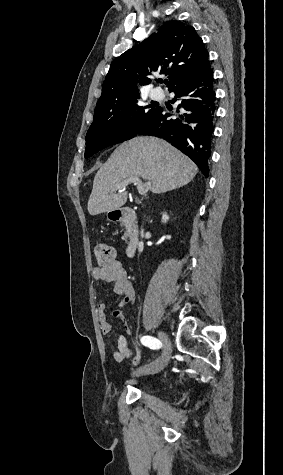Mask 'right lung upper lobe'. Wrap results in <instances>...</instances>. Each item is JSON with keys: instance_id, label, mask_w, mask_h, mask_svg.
I'll return each mask as SVG.
<instances>
[{"instance_id": "cb5924a9", "label": "right lung upper lobe", "mask_w": 283, "mask_h": 475, "mask_svg": "<svg viewBox=\"0 0 283 475\" xmlns=\"http://www.w3.org/2000/svg\"><path fill=\"white\" fill-rule=\"evenodd\" d=\"M208 52L192 26L167 21L157 34L117 57L110 66L96 108L120 104L139 96L137 83H150L147 76L166 74L168 89L176 83L210 69Z\"/></svg>"}]
</instances>
